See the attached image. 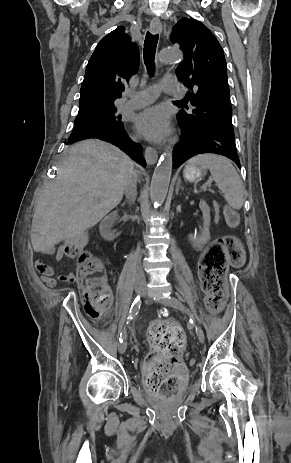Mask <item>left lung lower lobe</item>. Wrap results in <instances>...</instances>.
Here are the masks:
<instances>
[{
    "label": "left lung lower lobe",
    "instance_id": "0a47b994",
    "mask_svg": "<svg viewBox=\"0 0 291 463\" xmlns=\"http://www.w3.org/2000/svg\"><path fill=\"white\" fill-rule=\"evenodd\" d=\"M181 125V139L173 149V167L178 168L193 156L213 153L233 160L240 168L234 131L190 122L177 115Z\"/></svg>",
    "mask_w": 291,
    "mask_h": 463
}]
</instances>
